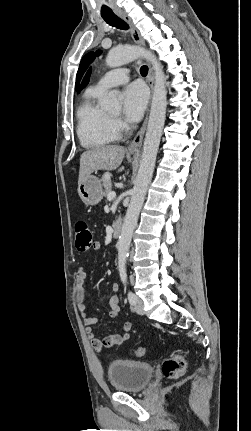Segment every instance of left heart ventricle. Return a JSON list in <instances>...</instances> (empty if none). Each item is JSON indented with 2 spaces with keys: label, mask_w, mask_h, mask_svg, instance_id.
Listing matches in <instances>:
<instances>
[{
  "label": "left heart ventricle",
  "mask_w": 251,
  "mask_h": 431,
  "mask_svg": "<svg viewBox=\"0 0 251 431\" xmlns=\"http://www.w3.org/2000/svg\"><path fill=\"white\" fill-rule=\"evenodd\" d=\"M112 114H113V115H118V114H119V111H115V112H113Z\"/></svg>",
  "instance_id": "left-heart-ventricle-1"
}]
</instances>
